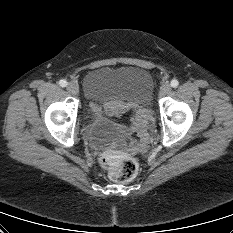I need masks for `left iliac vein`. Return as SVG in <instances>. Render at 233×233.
<instances>
[{"mask_svg": "<svg viewBox=\"0 0 233 233\" xmlns=\"http://www.w3.org/2000/svg\"><path fill=\"white\" fill-rule=\"evenodd\" d=\"M171 91V86L168 83H164L160 87V95L164 96L167 95Z\"/></svg>", "mask_w": 233, "mask_h": 233, "instance_id": "left-iliac-vein-1", "label": "left iliac vein"}]
</instances>
